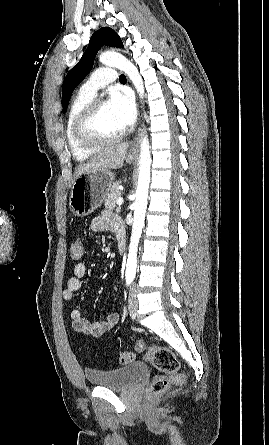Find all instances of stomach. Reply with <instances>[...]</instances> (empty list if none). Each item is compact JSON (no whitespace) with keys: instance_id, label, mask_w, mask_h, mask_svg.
I'll use <instances>...</instances> for the list:
<instances>
[{"instance_id":"obj_1","label":"stomach","mask_w":269,"mask_h":445,"mask_svg":"<svg viewBox=\"0 0 269 445\" xmlns=\"http://www.w3.org/2000/svg\"><path fill=\"white\" fill-rule=\"evenodd\" d=\"M134 157L128 156L131 162ZM115 175L108 169H100L83 173L78 176L72 185L69 207L78 217H84L96 210L106 199Z\"/></svg>"}]
</instances>
